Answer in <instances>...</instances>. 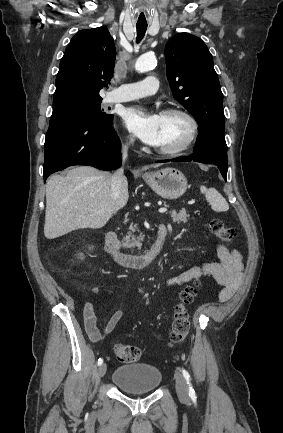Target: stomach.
Returning <instances> with one entry per match:
<instances>
[{
	"instance_id": "stomach-1",
	"label": "stomach",
	"mask_w": 283,
	"mask_h": 433,
	"mask_svg": "<svg viewBox=\"0 0 283 433\" xmlns=\"http://www.w3.org/2000/svg\"><path fill=\"white\" fill-rule=\"evenodd\" d=\"M143 178L159 196L163 198H179L187 188V178L177 168H161L156 172H145Z\"/></svg>"
}]
</instances>
